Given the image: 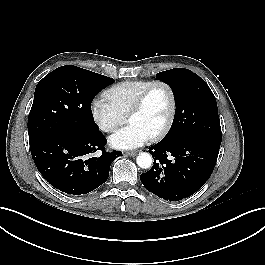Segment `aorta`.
<instances>
[{
  "mask_svg": "<svg viewBox=\"0 0 265 265\" xmlns=\"http://www.w3.org/2000/svg\"><path fill=\"white\" fill-rule=\"evenodd\" d=\"M137 165L142 169H148L152 166L153 159L149 153L141 152L136 158Z\"/></svg>",
  "mask_w": 265,
  "mask_h": 265,
  "instance_id": "obj_1",
  "label": "aorta"
}]
</instances>
